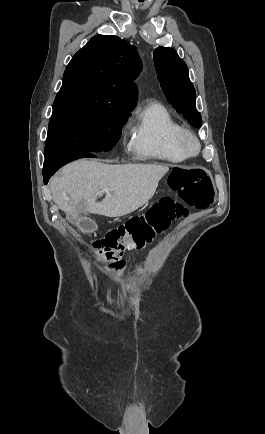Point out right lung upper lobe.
<instances>
[{"label": "right lung upper lobe", "mask_w": 265, "mask_h": 434, "mask_svg": "<svg viewBox=\"0 0 265 434\" xmlns=\"http://www.w3.org/2000/svg\"><path fill=\"white\" fill-rule=\"evenodd\" d=\"M142 63L129 42L113 35H96L79 50L67 65L63 84H88L134 102L137 87L133 84Z\"/></svg>", "instance_id": "right-lung-upper-lobe-1"}]
</instances>
